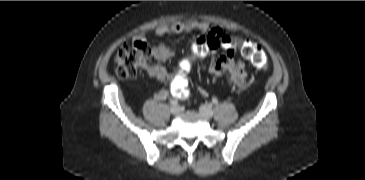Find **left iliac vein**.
I'll list each match as a JSON object with an SVG mask.
<instances>
[{
    "mask_svg": "<svg viewBox=\"0 0 365 180\" xmlns=\"http://www.w3.org/2000/svg\"><path fill=\"white\" fill-rule=\"evenodd\" d=\"M199 112L207 119H210L213 116V111L209 105H201L199 107Z\"/></svg>",
    "mask_w": 365,
    "mask_h": 180,
    "instance_id": "1",
    "label": "left iliac vein"
}]
</instances>
